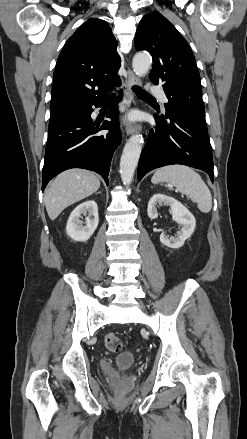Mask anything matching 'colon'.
I'll return each instance as SVG.
<instances>
[{"label": "colon", "mask_w": 247, "mask_h": 439, "mask_svg": "<svg viewBox=\"0 0 247 439\" xmlns=\"http://www.w3.org/2000/svg\"><path fill=\"white\" fill-rule=\"evenodd\" d=\"M105 345L111 352H119L123 347L121 338L115 333H110L106 336Z\"/></svg>", "instance_id": "1"}]
</instances>
